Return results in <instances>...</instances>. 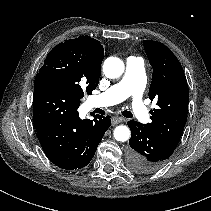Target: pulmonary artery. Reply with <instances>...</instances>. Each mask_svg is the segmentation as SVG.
<instances>
[{"label": "pulmonary artery", "mask_w": 211, "mask_h": 211, "mask_svg": "<svg viewBox=\"0 0 211 211\" xmlns=\"http://www.w3.org/2000/svg\"><path fill=\"white\" fill-rule=\"evenodd\" d=\"M144 89V63L140 58L132 56L126 60V70L122 79L105 92L91 97L89 105L91 107L111 106L132 97L134 115L139 121L145 122L149 117V113L141 99Z\"/></svg>", "instance_id": "pulmonary-artery-1"}]
</instances>
